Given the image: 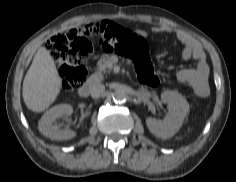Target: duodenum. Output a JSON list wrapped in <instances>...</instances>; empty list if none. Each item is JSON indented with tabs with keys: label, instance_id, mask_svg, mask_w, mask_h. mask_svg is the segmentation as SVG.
<instances>
[{
	"label": "duodenum",
	"instance_id": "obj_1",
	"mask_svg": "<svg viewBox=\"0 0 236 182\" xmlns=\"http://www.w3.org/2000/svg\"><path fill=\"white\" fill-rule=\"evenodd\" d=\"M100 80V75H96L92 77L88 82L83 84L79 90L78 93L81 97H86L90 94L91 89L94 87V85Z\"/></svg>",
	"mask_w": 236,
	"mask_h": 182
}]
</instances>
